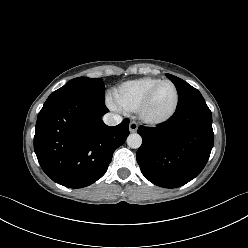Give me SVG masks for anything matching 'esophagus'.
Instances as JSON below:
<instances>
[{
    "label": "esophagus",
    "mask_w": 248,
    "mask_h": 248,
    "mask_svg": "<svg viewBox=\"0 0 248 248\" xmlns=\"http://www.w3.org/2000/svg\"><path fill=\"white\" fill-rule=\"evenodd\" d=\"M137 129H138V124H137L135 121H131V122L129 123V131H130L131 133H134V132L137 131Z\"/></svg>",
    "instance_id": "1"
}]
</instances>
